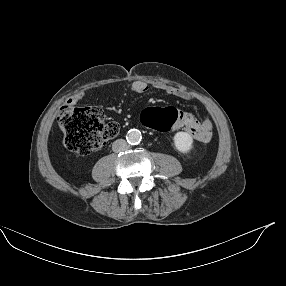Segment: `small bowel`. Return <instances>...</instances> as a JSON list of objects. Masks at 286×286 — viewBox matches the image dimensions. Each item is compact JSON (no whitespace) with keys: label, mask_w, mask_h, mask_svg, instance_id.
<instances>
[{"label":"small bowel","mask_w":286,"mask_h":286,"mask_svg":"<svg viewBox=\"0 0 286 286\" xmlns=\"http://www.w3.org/2000/svg\"><path fill=\"white\" fill-rule=\"evenodd\" d=\"M160 88L166 93L178 96L182 99L190 100L194 97L192 93L175 86L163 85ZM148 90L149 86L144 81H135L130 86V92L134 94L145 93ZM175 110L178 114V118L168 130L183 129L188 132L195 141L201 143H206L211 139L213 134V121L211 118L205 116L201 121H198L188 112Z\"/></svg>","instance_id":"small-bowel-1"}]
</instances>
